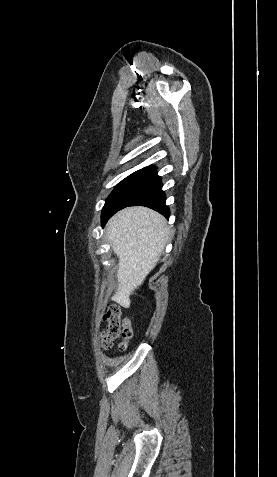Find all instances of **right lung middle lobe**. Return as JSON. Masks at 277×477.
Here are the masks:
<instances>
[{"mask_svg":"<svg viewBox=\"0 0 277 477\" xmlns=\"http://www.w3.org/2000/svg\"><path fill=\"white\" fill-rule=\"evenodd\" d=\"M157 171L152 168L138 170L122 180L105 201L102 209V226L118 210L127 207L143 191H145L156 179Z\"/></svg>","mask_w":277,"mask_h":477,"instance_id":"right-lung-middle-lobe-1","label":"right lung middle lobe"}]
</instances>
